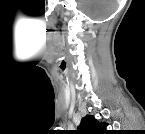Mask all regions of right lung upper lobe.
I'll return each mask as SVG.
<instances>
[{
  "mask_svg": "<svg viewBox=\"0 0 145 134\" xmlns=\"http://www.w3.org/2000/svg\"><path fill=\"white\" fill-rule=\"evenodd\" d=\"M107 124L105 122L100 123L93 116L87 115L85 116L81 124L79 126V131L82 134H108L109 132L106 130Z\"/></svg>",
  "mask_w": 145,
  "mask_h": 134,
  "instance_id": "cb5924a9",
  "label": "right lung upper lobe"
}]
</instances>
